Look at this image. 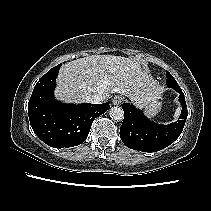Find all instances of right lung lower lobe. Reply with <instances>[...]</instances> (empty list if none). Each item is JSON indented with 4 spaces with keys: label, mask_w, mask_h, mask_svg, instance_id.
Here are the masks:
<instances>
[{
    "label": "right lung lower lobe",
    "mask_w": 211,
    "mask_h": 211,
    "mask_svg": "<svg viewBox=\"0 0 211 211\" xmlns=\"http://www.w3.org/2000/svg\"><path fill=\"white\" fill-rule=\"evenodd\" d=\"M60 65L53 67L35 85L28 103L30 124L36 135L54 148L80 145L88 136L92 122L110 105L64 104L54 99L55 80Z\"/></svg>",
    "instance_id": "98d812e1"
}]
</instances>
